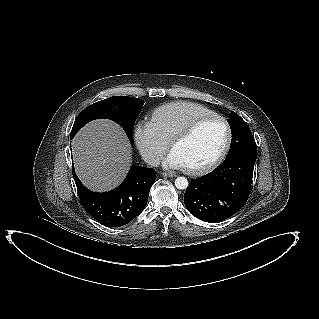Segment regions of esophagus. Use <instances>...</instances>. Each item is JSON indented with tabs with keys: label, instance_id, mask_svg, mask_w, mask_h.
I'll list each match as a JSON object with an SVG mask.
<instances>
[{
	"label": "esophagus",
	"instance_id": "34e87169",
	"mask_svg": "<svg viewBox=\"0 0 319 319\" xmlns=\"http://www.w3.org/2000/svg\"><path fill=\"white\" fill-rule=\"evenodd\" d=\"M162 175H163L164 177H169V178H173V177L176 176V175L173 174V173H167V172H163Z\"/></svg>",
	"mask_w": 319,
	"mask_h": 319
}]
</instances>
